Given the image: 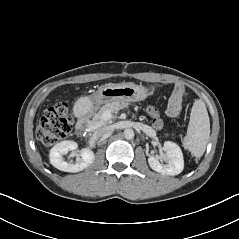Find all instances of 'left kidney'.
<instances>
[{"label":"left kidney","mask_w":239,"mask_h":239,"mask_svg":"<svg viewBox=\"0 0 239 239\" xmlns=\"http://www.w3.org/2000/svg\"><path fill=\"white\" fill-rule=\"evenodd\" d=\"M165 153L162 156L151 155L148 158L149 166L156 172L163 175H178L183 171L184 160L183 153L180 147L171 141L164 143ZM160 159H163L166 164H161Z\"/></svg>","instance_id":"left-kidney-1"}]
</instances>
